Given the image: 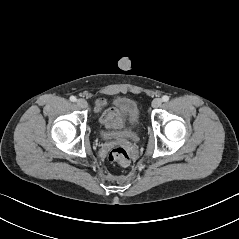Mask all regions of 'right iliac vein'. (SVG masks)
Listing matches in <instances>:
<instances>
[{
  "mask_svg": "<svg viewBox=\"0 0 239 239\" xmlns=\"http://www.w3.org/2000/svg\"><path fill=\"white\" fill-rule=\"evenodd\" d=\"M77 105H78V107H80V108H86L87 107V102H86V100H84V99H78L77 100Z\"/></svg>",
  "mask_w": 239,
  "mask_h": 239,
  "instance_id": "right-iliac-vein-1",
  "label": "right iliac vein"
}]
</instances>
